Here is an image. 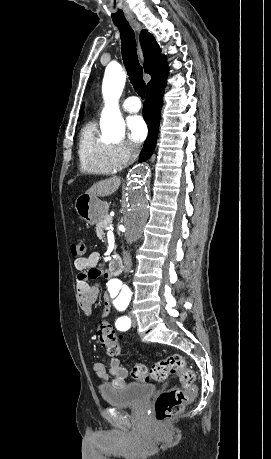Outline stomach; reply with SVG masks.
<instances>
[{
    "label": "stomach",
    "instance_id": "stomach-1",
    "mask_svg": "<svg viewBox=\"0 0 271 459\" xmlns=\"http://www.w3.org/2000/svg\"><path fill=\"white\" fill-rule=\"evenodd\" d=\"M75 210L81 220H85L89 226H94V224H99L105 220L108 214V204L101 202L98 198L84 194V196L77 198Z\"/></svg>",
    "mask_w": 271,
    "mask_h": 459
}]
</instances>
